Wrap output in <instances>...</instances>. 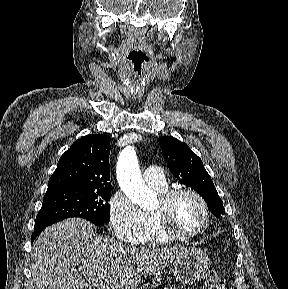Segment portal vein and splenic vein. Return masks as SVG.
<instances>
[{"label": "portal vein and splenic vein", "instance_id": "obj_1", "mask_svg": "<svg viewBox=\"0 0 288 289\" xmlns=\"http://www.w3.org/2000/svg\"><path fill=\"white\" fill-rule=\"evenodd\" d=\"M88 280H90V281H91L92 279H91V278H88Z\"/></svg>", "mask_w": 288, "mask_h": 289}]
</instances>
